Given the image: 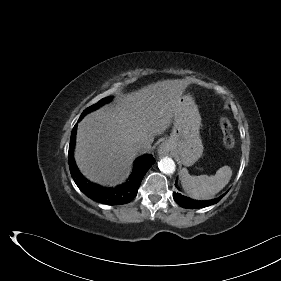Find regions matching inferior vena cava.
<instances>
[{
    "label": "inferior vena cava",
    "mask_w": 281,
    "mask_h": 281,
    "mask_svg": "<svg viewBox=\"0 0 281 281\" xmlns=\"http://www.w3.org/2000/svg\"><path fill=\"white\" fill-rule=\"evenodd\" d=\"M151 148V145L149 143H140L138 146H137V151L140 152V153H145L147 152L148 150H150Z\"/></svg>",
    "instance_id": "inferior-vena-cava-1"
}]
</instances>
